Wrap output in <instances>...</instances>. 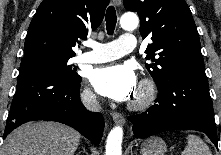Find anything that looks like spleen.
<instances>
[{
	"label": "spleen",
	"instance_id": "spleen-1",
	"mask_svg": "<svg viewBox=\"0 0 221 155\" xmlns=\"http://www.w3.org/2000/svg\"><path fill=\"white\" fill-rule=\"evenodd\" d=\"M181 155H212V153L200 137L189 134L187 136V145Z\"/></svg>",
	"mask_w": 221,
	"mask_h": 155
}]
</instances>
